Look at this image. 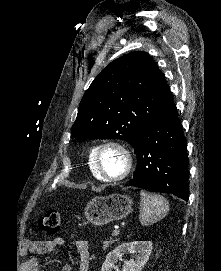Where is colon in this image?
Masks as SVG:
<instances>
[{
  "instance_id": "1",
  "label": "colon",
  "mask_w": 221,
  "mask_h": 271,
  "mask_svg": "<svg viewBox=\"0 0 221 271\" xmlns=\"http://www.w3.org/2000/svg\"><path fill=\"white\" fill-rule=\"evenodd\" d=\"M60 225V215L57 211L44 213L37 224L39 230L54 234L58 231Z\"/></svg>"
}]
</instances>
